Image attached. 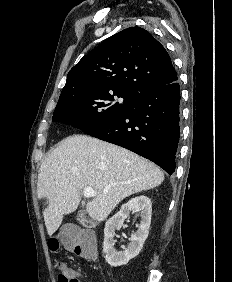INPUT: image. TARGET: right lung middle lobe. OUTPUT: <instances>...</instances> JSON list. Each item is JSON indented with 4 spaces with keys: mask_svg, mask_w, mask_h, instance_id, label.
Here are the masks:
<instances>
[{
    "mask_svg": "<svg viewBox=\"0 0 232 282\" xmlns=\"http://www.w3.org/2000/svg\"><path fill=\"white\" fill-rule=\"evenodd\" d=\"M117 98L123 101L117 102ZM137 98L138 95L123 90L78 94L58 101L52 121L85 131L128 112L134 107Z\"/></svg>",
    "mask_w": 232,
    "mask_h": 282,
    "instance_id": "dd1d6c3e",
    "label": "right lung middle lobe"
}]
</instances>
